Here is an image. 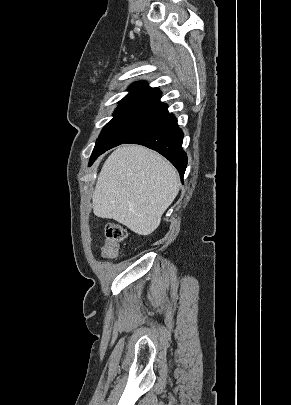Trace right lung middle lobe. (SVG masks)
<instances>
[{"label": "right lung middle lobe", "mask_w": 291, "mask_h": 405, "mask_svg": "<svg viewBox=\"0 0 291 405\" xmlns=\"http://www.w3.org/2000/svg\"><path fill=\"white\" fill-rule=\"evenodd\" d=\"M167 114L166 104L147 101L121 102L114 112V118L101 131L91 155L90 164L105 151L125 143Z\"/></svg>", "instance_id": "dd1d6c3e"}]
</instances>
